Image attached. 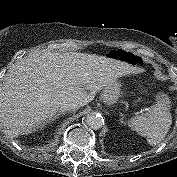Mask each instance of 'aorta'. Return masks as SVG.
Listing matches in <instances>:
<instances>
[{
  "instance_id": "aorta-1",
  "label": "aorta",
  "mask_w": 177,
  "mask_h": 177,
  "mask_svg": "<svg viewBox=\"0 0 177 177\" xmlns=\"http://www.w3.org/2000/svg\"><path fill=\"white\" fill-rule=\"evenodd\" d=\"M86 124L90 126L92 129H100L104 125V119L101 115L91 113L86 117Z\"/></svg>"
}]
</instances>
